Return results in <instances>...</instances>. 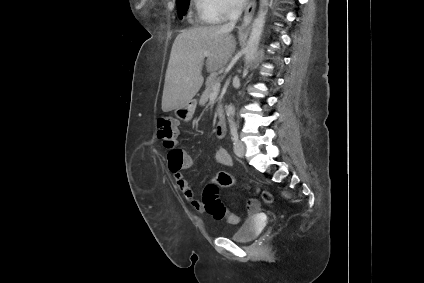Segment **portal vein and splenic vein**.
Here are the masks:
<instances>
[{
	"instance_id": "1",
	"label": "portal vein and splenic vein",
	"mask_w": 424,
	"mask_h": 283,
	"mask_svg": "<svg viewBox=\"0 0 424 283\" xmlns=\"http://www.w3.org/2000/svg\"><path fill=\"white\" fill-rule=\"evenodd\" d=\"M204 55H205V56H208V55H209V52H207V51H206V52H204ZM220 87H221L220 82L216 83V84L213 86L211 96H216V95L219 93V91H220Z\"/></svg>"
}]
</instances>
